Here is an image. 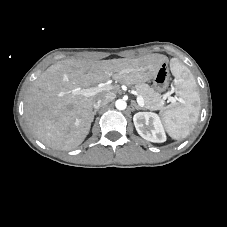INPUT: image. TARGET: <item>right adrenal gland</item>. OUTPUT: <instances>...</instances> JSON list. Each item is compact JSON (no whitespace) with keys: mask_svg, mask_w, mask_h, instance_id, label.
<instances>
[{"mask_svg":"<svg viewBox=\"0 0 227 227\" xmlns=\"http://www.w3.org/2000/svg\"><path fill=\"white\" fill-rule=\"evenodd\" d=\"M97 111H98V109H95V110L93 111V116L97 113Z\"/></svg>","mask_w":227,"mask_h":227,"instance_id":"2a0ac1e0","label":"right adrenal gland"}]
</instances>
